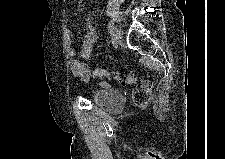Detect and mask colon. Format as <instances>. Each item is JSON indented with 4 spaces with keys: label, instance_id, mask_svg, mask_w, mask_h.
Listing matches in <instances>:
<instances>
[{
    "label": "colon",
    "instance_id": "5ec220e1",
    "mask_svg": "<svg viewBox=\"0 0 225 159\" xmlns=\"http://www.w3.org/2000/svg\"><path fill=\"white\" fill-rule=\"evenodd\" d=\"M93 73L102 80L110 77H114L123 85H132L137 81V74L135 72H129L126 75H119L118 73L111 72L108 69L96 67ZM153 88V82L151 80H143L139 82L132 92V101L138 107H145L149 104L151 99V92Z\"/></svg>",
    "mask_w": 225,
    "mask_h": 159
}]
</instances>
